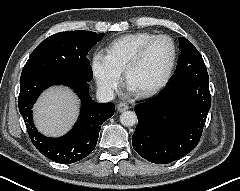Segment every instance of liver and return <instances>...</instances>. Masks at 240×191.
Returning a JSON list of instances; mask_svg holds the SVG:
<instances>
[{"mask_svg":"<svg viewBox=\"0 0 240 191\" xmlns=\"http://www.w3.org/2000/svg\"><path fill=\"white\" fill-rule=\"evenodd\" d=\"M78 99L67 88H51L44 92L34 106L37 129L47 136L65 134L77 119Z\"/></svg>","mask_w":240,"mask_h":191,"instance_id":"obj_1","label":"liver"}]
</instances>
